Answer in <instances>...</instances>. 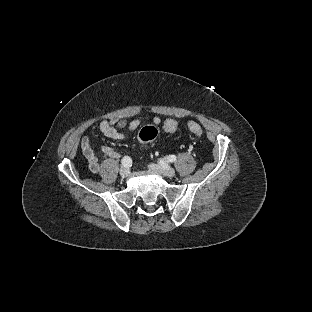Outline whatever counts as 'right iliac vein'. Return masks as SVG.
Listing matches in <instances>:
<instances>
[{"label":"right iliac vein","instance_id":"63e3f726","mask_svg":"<svg viewBox=\"0 0 312 312\" xmlns=\"http://www.w3.org/2000/svg\"><path fill=\"white\" fill-rule=\"evenodd\" d=\"M129 173H130V171H129V168H128V167H124V166L121 167V169H120V175H121L122 178L128 177Z\"/></svg>","mask_w":312,"mask_h":312}]
</instances>
